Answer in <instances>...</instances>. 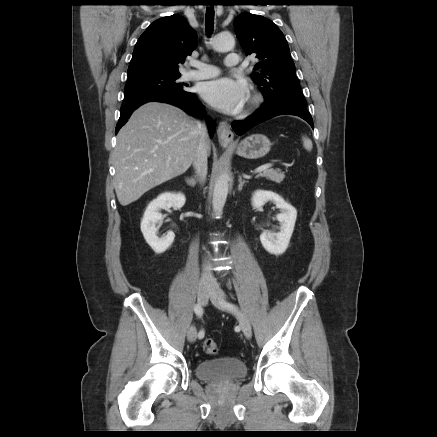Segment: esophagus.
<instances>
[{"mask_svg": "<svg viewBox=\"0 0 437 437\" xmlns=\"http://www.w3.org/2000/svg\"><path fill=\"white\" fill-rule=\"evenodd\" d=\"M219 143L223 146H228L233 143L234 134L226 121H221L217 129Z\"/></svg>", "mask_w": 437, "mask_h": 437, "instance_id": "obj_1", "label": "esophagus"}]
</instances>
